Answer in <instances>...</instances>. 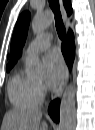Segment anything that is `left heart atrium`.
Listing matches in <instances>:
<instances>
[{"label":"left heart atrium","mask_w":95,"mask_h":130,"mask_svg":"<svg viewBox=\"0 0 95 130\" xmlns=\"http://www.w3.org/2000/svg\"><path fill=\"white\" fill-rule=\"evenodd\" d=\"M43 61L46 71V83L53 87L59 83L63 76V59L58 51H52L44 57Z\"/></svg>","instance_id":"1"}]
</instances>
